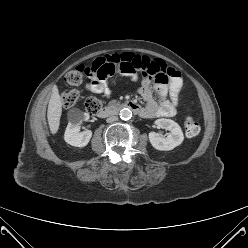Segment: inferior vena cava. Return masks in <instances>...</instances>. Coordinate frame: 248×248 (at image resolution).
I'll use <instances>...</instances> for the list:
<instances>
[{"label": "inferior vena cava", "mask_w": 248, "mask_h": 248, "mask_svg": "<svg viewBox=\"0 0 248 248\" xmlns=\"http://www.w3.org/2000/svg\"><path fill=\"white\" fill-rule=\"evenodd\" d=\"M117 120H118V117L117 116H110V117L107 118L106 121L108 123H112V122L117 121Z\"/></svg>", "instance_id": "1"}]
</instances>
